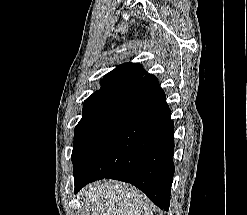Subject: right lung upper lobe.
<instances>
[{
  "label": "right lung upper lobe",
  "mask_w": 247,
  "mask_h": 215,
  "mask_svg": "<svg viewBox=\"0 0 247 215\" xmlns=\"http://www.w3.org/2000/svg\"><path fill=\"white\" fill-rule=\"evenodd\" d=\"M146 71L139 63H124L109 72L101 81L99 91L128 89L145 77Z\"/></svg>",
  "instance_id": "1"
}]
</instances>
